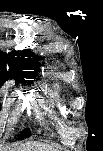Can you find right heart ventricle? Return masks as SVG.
<instances>
[{
	"label": "right heart ventricle",
	"mask_w": 103,
	"mask_h": 151,
	"mask_svg": "<svg viewBox=\"0 0 103 151\" xmlns=\"http://www.w3.org/2000/svg\"><path fill=\"white\" fill-rule=\"evenodd\" d=\"M50 100L52 107L57 111V113L64 119L68 118L70 109L65 95L61 92L58 86H54Z\"/></svg>",
	"instance_id": "obj_1"
}]
</instances>
